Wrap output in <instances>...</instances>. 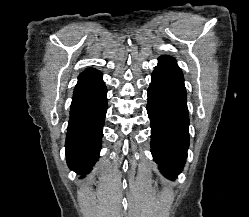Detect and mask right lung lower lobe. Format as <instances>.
I'll list each match as a JSON object with an SVG mask.
<instances>
[{"mask_svg":"<svg viewBox=\"0 0 249 217\" xmlns=\"http://www.w3.org/2000/svg\"><path fill=\"white\" fill-rule=\"evenodd\" d=\"M107 89L102 74L87 69L78 77L66 136V160L78 174L91 171L99 157L107 111Z\"/></svg>","mask_w":249,"mask_h":217,"instance_id":"1","label":"right lung lower lobe"}]
</instances>
